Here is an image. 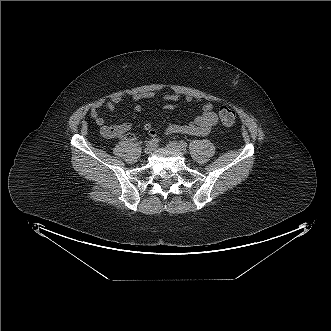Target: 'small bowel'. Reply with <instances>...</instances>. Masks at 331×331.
Wrapping results in <instances>:
<instances>
[{
    "label": "small bowel",
    "instance_id": "1",
    "mask_svg": "<svg viewBox=\"0 0 331 331\" xmlns=\"http://www.w3.org/2000/svg\"><path fill=\"white\" fill-rule=\"evenodd\" d=\"M155 97V93L151 91H143L136 93L132 96V100L136 102L134 109L140 113L143 111L142 105L138 102L145 99H152ZM122 101L120 96H114L110 99L99 100L95 103L91 111V117L95 124L100 127L101 134L107 138H123L128 141H134L136 136L131 132L132 124L123 120H120L115 125H106L104 119L99 115V109L105 108L108 111H113L115 106ZM163 107L171 110L179 106L181 97L178 94H164L161 96ZM184 101L187 103H198L201 100L192 96H185ZM218 118L216 113L213 111L211 103L205 102L201 105V114L196 116L195 119L188 124H171L168 125L164 133L169 134H186L192 136H205L211 129L217 124ZM144 129L147 134L151 137L157 136V130L153 127L151 122H147L144 125Z\"/></svg>",
    "mask_w": 331,
    "mask_h": 331
}]
</instances>
